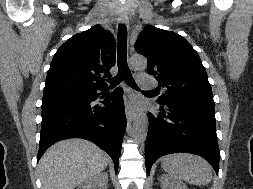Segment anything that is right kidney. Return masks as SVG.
<instances>
[{"label": "right kidney", "mask_w": 253, "mask_h": 189, "mask_svg": "<svg viewBox=\"0 0 253 189\" xmlns=\"http://www.w3.org/2000/svg\"><path fill=\"white\" fill-rule=\"evenodd\" d=\"M108 174L99 173L82 183L78 189H107Z\"/></svg>", "instance_id": "1"}]
</instances>
